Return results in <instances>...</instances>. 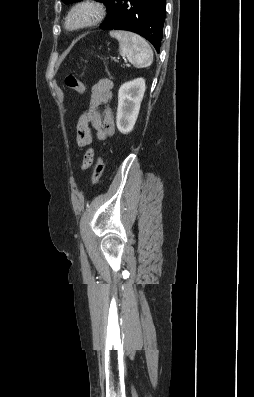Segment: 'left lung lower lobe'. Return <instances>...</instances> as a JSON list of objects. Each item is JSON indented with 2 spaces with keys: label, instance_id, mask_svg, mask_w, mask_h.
I'll return each mask as SVG.
<instances>
[{
  "label": "left lung lower lobe",
  "instance_id": "1",
  "mask_svg": "<svg viewBox=\"0 0 254 397\" xmlns=\"http://www.w3.org/2000/svg\"><path fill=\"white\" fill-rule=\"evenodd\" d=\"M101 29H121L146 38L159 53L166 0H111Z\"/></svg>",
  "mask_w": 254,
  "mask_h": 397
}]
</instances>
